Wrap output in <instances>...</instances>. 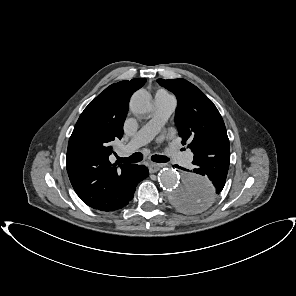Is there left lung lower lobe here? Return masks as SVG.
<instances>
[{"label":"left lung lower lobe","mask_w":296,"mask_h":296,"mask_svg":"<svg viewBox=\"0 0 296 296\" xmlns=\"http://www.w3.org/2000/svg\"><path fill=\"white\" fill-rule=\"evenodd\" d=\"M192 163L195 165V168L191 171L193 174H187V176L202 175L210 179L214 185L212 189L207 191H197L193 194L181 193L183 208L198 211L212 203L216 196L223 190L230 164V154L194 159ZM175 167L189 171L178 165H175Z\"/></svg>","instance_id":"obj_1"}]
</instances>
